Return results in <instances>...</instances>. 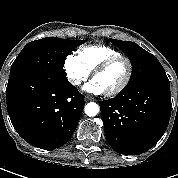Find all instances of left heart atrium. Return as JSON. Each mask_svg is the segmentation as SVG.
I'll list each match as a JSON object with an SVG mask.
<instances>
[{"label": "left heart atrium", "mask_w": 178, "mask_h": 178, "mask_svg": "<svg viewBox=\"0 0 178 178\" xmlns=\"http://www.w3.org/2000/svg\"><path fill=\"white\" fill-rule=\"evenodd\" d=\"M83 89L86 92L95 94V95H98L104 92L103 88L95 80H92L91 82L87 83L83 87Z\"/></svg>", "instance_id": "1"}]
</instances>
